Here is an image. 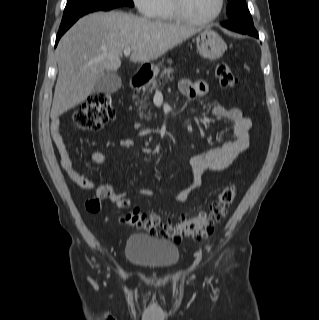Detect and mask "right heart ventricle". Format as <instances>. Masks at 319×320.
I'll list each match as a JSON object with an SVG mask.
<instances>
[{
	"label": "right heart ventricle",
	"mask_w": 319,
	"mask_h": 320,
	"mask_svg": "<svg viewBox=\"0 0 319 320\" xmlns=\"http://www.w3.org/2000/svg\"><path fill=\"white\" fill-rule=\"evenodd\" d=\"M158 18L164 22H174L176 20L172 11L171 0H163Z\"/></svg>",
	"instance_id": "e07e8e85"
}]
</instances>
